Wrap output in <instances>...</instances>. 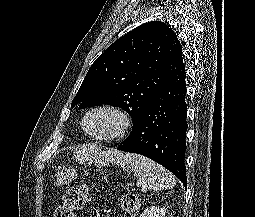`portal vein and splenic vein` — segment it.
I'll return each instance as SVG.
<instances>
[{
	"instance_id": "obj_1",
	"label": "portal vein and splenic vein",
	"mask_w": 255,
	"mask_h": 217,
	"mask_svg": "<svg viewBox=\"0 0 255 217\" xmlns=\"http://www.w3.org/2000/svg\"><path fill=\"white\" fill-rule=\"evenodd\" d=\"M142 191L145 192V191H146V187H143V188H142Z\"/></svg>"
}]
</instances>
